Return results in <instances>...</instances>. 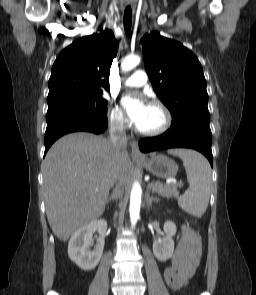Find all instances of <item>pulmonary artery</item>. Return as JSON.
Wrapping results in <instances>:
<instances>
[{"label": "pulmonary artery", "instance_id": "e3ab8cb5", "mask_svg": "<svg viewBox=\"0 0 256 295\" xmlns=\"http://www.w3.org/2000/svg\"><path fill=\"white\" fill-rule=\"evenodd\" d=\"M148 81L147 74L144 70H136L124 81V85L128 87H141Z\"/></svg>", "mask_w": 256, "mask_h": 295}]
</instances>
